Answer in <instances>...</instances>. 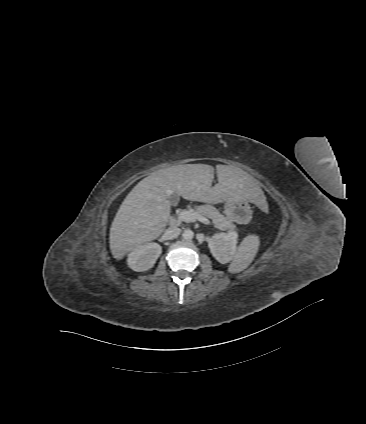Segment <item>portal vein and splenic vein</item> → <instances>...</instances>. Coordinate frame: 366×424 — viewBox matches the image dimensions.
Masks as SVG:
<instances>
[{"label":"portal vein and splenic vein","instance_id":"18ae733b","mask_svg":"<svg viewBox=\"0 0 366 424\" xmlns=\"http://www.w3.org/2000/svg\"><path fill=\"white\" fill-rule=\"evenodd\" d=\"M177 219H179L180 221H184V222H195V221H200L204 224H209V220L198 214L197 212L193 211V210H183L182 212H180L177 215Z\"/></svg>","mask_w":366,"mask_h":424}]
</instances>
